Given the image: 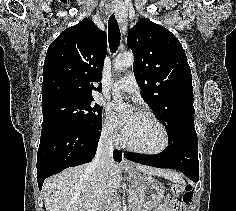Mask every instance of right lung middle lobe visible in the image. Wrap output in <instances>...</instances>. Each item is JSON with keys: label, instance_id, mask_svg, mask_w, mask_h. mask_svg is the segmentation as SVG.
<instances>
[{"label": "right lung middle lobe", "instance_id": "right-lung-middle-lobe-1", "mask_svg": "<svg viewBox=\"0 0 236 211\" xmlns=\"http://www.w3.org/2000/svg\"><path fill=\"white\" fill-rule=\"evenodd\" d=\"M92 101V98H59L42 104V124L61 122L100 130L102 128V106L93 104Z\"/></svg>", "mask_w": 236, "mask_h": 211}]
</instances>
